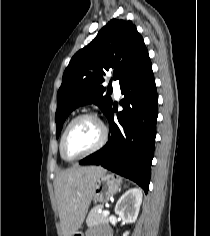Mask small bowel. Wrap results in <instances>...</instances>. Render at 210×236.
<instances>
[{
	"label": "small bowel",
	"mask_w": 210,
	"mask_h": 236,
	"mask_svg": "<svg viewBox=\"0 0 210 236\" xmlns=\"http://www.w3.org/2000/svg\"><path fill=\"white\" fill-rule=\"evenodd\" d=\"M88 236H111V232L108 229H103L99 232L91 231L88 233Z\"/></svg>",
	"instance_id": "obj_1"
}]
</instances>
